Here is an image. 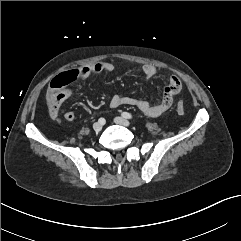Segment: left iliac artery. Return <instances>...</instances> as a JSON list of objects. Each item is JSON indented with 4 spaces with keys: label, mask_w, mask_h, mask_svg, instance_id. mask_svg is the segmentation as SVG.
Wrapping results in <instances>:
<instances>
[{
    "label": "left iliac artery",
    "mask_w": 241,
    "mask_h": 241,
    "mask_svg": "<svg viewBox=\"0 0 241 241\" xmlns=\"http://www.w3.org/2000/svg\"><path fill=\"white\" fill-rule=\"evenodd\" d=\"M122 116H123L124 118H126V119H132V118H133L132 115H131L130 113H128V112H123V113H122Z\"/></svg>",
    "instance_id": "1"
}]
</instances>
